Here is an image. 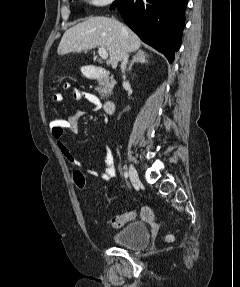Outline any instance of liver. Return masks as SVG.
Masks as SVG:
<instances>
[{
  "instance_id": "obj_1",
  "label": "liver",
  "mask_w": 240,
  "mask_h": 287,
  "mask_svg": "<svg viewBox=\"0 0 240 287\" xmlns=\"http://www.w3.org/2000/svg\"><path fill=\"white\" fill-rule=\"evenodd\" d=\"M141 46L140 38L114 18L91 17L68 29L58 46L57 53L65 55L95 47H104L116 67L125 53L134 52Z\"/></svg>"
}]
</instances>
